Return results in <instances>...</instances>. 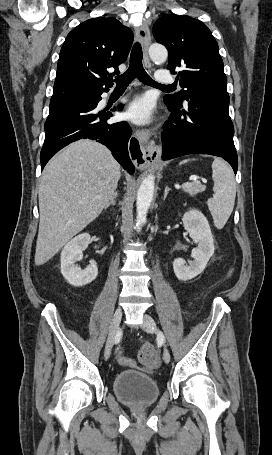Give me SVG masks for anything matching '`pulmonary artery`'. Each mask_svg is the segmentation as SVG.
Listing matches in <instances>:
<instances>
[{
	"label": "pulmonary artery",
	"mask_w": 272,
	"mask_h": 455,
	"mask_svg": "<svg viewBox=\"0 0 272 455\" xmlns=\"http://www.w3.org/2000/svg\"><path fill=\"white\" fill-rule=\"evenodd\" d=\"M156 82L159 84H169L174 82V78L168 71L160 70L156 73Z\"/></svg>",
	"instance_id": "pulmonary-artery-1"
}]
</instances>
